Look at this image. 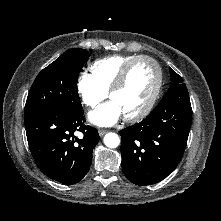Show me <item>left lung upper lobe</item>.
Masks as SVG:
<instances>
[{"label":"left lung upper lobe","instance_id":"5c2ea615","mask_svg":"<svg viewBox=\"0 0 221 221\" xmlns=\"http://www.w3.org/2000/svg\"><path fill=\"white\" fill-rule=\"evenodd\" d=\"M170 69V78L172 85L170 86L169 90L167 91L168 94H175V96L178 98L183 93L188 94L187 87L185 83H183V79L174 72L171 68Z\"/></svg>","mask_w":221,"mask_h":221}]
</instances>
